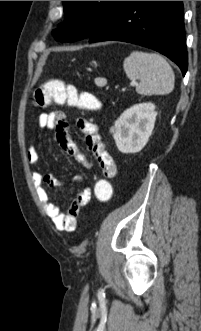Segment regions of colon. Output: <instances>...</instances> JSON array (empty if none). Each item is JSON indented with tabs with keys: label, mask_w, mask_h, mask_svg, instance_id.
I'll use <instances>...</instances> for the list:
<instances>
[{
	"label": "colon",
	"mask_w": 201,
	"mask_h": 331,
	"mask_svg": "<svg viewBox=\"0 0 201 331\" xmlns=\"http://www.w3.org/2000/svg\"><path fill=\"white\" fill-rule=\"evenodd\" d=\"M34 103L42 108L53 104H67L88 111L99 107V102L93 95L79 92L75 86L56 79L47 80L36 90ZM94 195L100 203L109 202L113 195L111 181L105 177L99 178L95 183Z\"/></svg>",
	"instance_id": "1"
}]
</instances>
